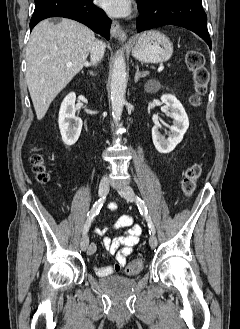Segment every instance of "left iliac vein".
<instances>
[{"instance_id":"1","label":"left iliac vein","mask_w":240,"mask_h":329,"mask_svg":"<svg viewBox=\"0 0 240 329\" xmlns=\"http://www.w3.org/2000/svg\"><path fill=\"white\" fill-rule=\"evenodd\" d=\"M118 193L127 201L133 202L134 201V191L129 186H124L118 189ZM149 244L151 248H155L157 246V238L155 235H151L149 238Z\"/></svg>"}]
</instances>
